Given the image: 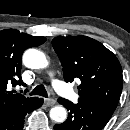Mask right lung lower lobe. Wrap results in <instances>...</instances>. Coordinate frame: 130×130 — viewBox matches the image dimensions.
Masks as SVG:
<instances>
[{
    "instance_id": "1",
    "label": "right lung lower lobe",
    "mask_w": 130,
    "mask_h": 130,
    "mask_svg": "<svg viewBox=\"0 0 130 130\" xmlns=\"http://www.w3.org/2000/svg\"><path fill=\"white\" fill-rule=\"evenodd\" d=\"M42 98L21 107L0 112V130H23L24 119L27 113L41 107Z\"/></svg>"
}]
</instances>
